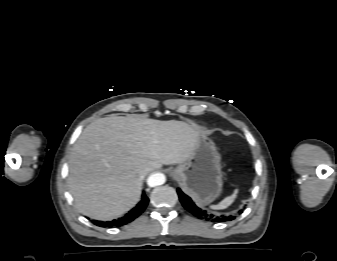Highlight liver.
<instances>
[{"label": "liver", "mask_w": 337, "mask_h": 261, "mask_svg": "<svg viewBox=\"0 0 337 261\" xmlns=\"http://www.w3.org/2000/svg\"><path fill=\"white\" fill-rule=\"evenodd\" d=\"M202 131L196 124L176 120H95L83 130L69 157L67 182L77 209L102 221L123 215L140 198L142 172L186 162Z\"/></svg>", "instance_id": "liver-1"}]
</instances>
